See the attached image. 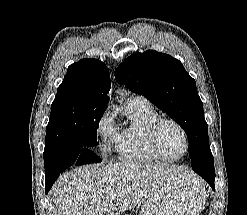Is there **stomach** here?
I'll list each match as a JSON object with an SVG mask.
<instances>
[{
    "label": "stomach",
    "mask_w": 247,
    "mask_h": 215,
    "mask_svg": "<svg viewBox=\"0 0 247 215\" xmlns=\"http://www.w3.org/2000/svg\"><path fill=\"white\" fill-rule=\"evenodd\" d=\"M206 191L202 181L191 173H180L145 200L140 215H199Z\"/></svg>",
    "instance_id": "stomach-1"
}]
</instances>
